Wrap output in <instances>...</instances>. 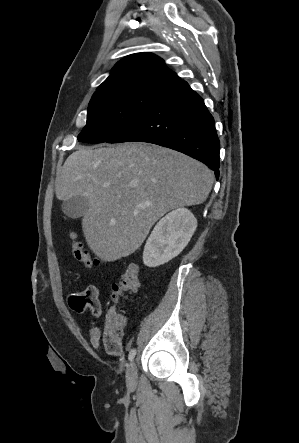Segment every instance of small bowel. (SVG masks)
Masks as SVG:
<instances>
[{
    "label": "small bowel",
    "mask_w": 299,
    "mask_h": 443,
    "mask_svg": "<svg viewBox=\"0 0 299 443\" xmlns=\"http://www.w3.org/2000/svg\"><path fill=\"white\" fill-rule=\"evenodd\" d=\"M101 290L96 285H89L83 292L72 294L69 297L70 307L77 311L83 312L88 309L94 319L102 315V305L100 301ZM113 312L108 309L106 318ZM89 340L93 348L99 350L104 348L110 355H120L122 353V343L120 335L111 334L106 328L101 330L94 322L89 327Z\"/></svg>",
    "instance_id": "1"
}]
</instances>
